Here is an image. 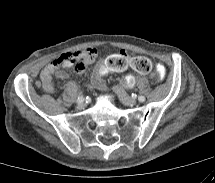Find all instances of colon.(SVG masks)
<instances>
[{
    "label": "colon",
    "mask_w": 215,
    "mask_h": 183,
    "mask_svg": "<svg viewBox=\"0 0 215 183\" xmlns=\"http://www.w3.org/2000/svg\"><path fill=\"white\" fill-rule=\"evenodd\" d=\"M88 57L83 53H67L59 57L58 64L60 67H75L79 69L85 66ZM152 78L157 83H165L170 78V71L164 62H157L152 71Z\"/></svg>",
    "instance_id": "obj_1"
}]
</instances>
